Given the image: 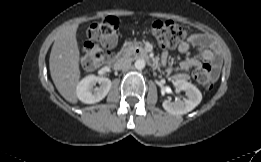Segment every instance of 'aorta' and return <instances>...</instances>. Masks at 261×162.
<instances>
[{
    "label": "aorta",
    "mask_w": 261,
    "mask_h": 162,
    "mask_svg": "<svg viewBox=\"0 0 261 162\" xmlns=\"http://www.w3.org/2000/svg\"><path fill=\"white\" fill-rule=\"evenodd\" d=\"M134 65L136 69L142 70L145 67L146 63L144 59H137Z\"/></svg>",
    "instance_id": "obj_1"
}]
</instances>
